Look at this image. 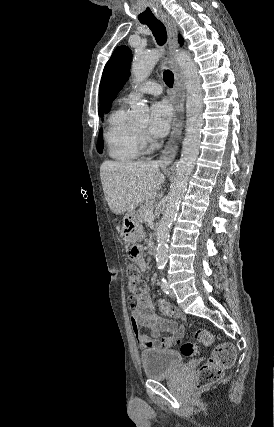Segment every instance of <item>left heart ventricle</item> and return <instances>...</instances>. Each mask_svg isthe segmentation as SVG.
<instances>
[{"instance_id":"b2bd125f","label":"left heart ventricle","mask_w":274,"mask_h":427,"mask_svg":"<svg viewBox=\"0 0 274 427\" xmlns=\"http://www.w3.org/2000/svg\"><path fill=\"white\" fill-rule=\"evenodd\" d=\"M141 130L147 133L148 121L142 122L137 125Z\"/></svg>"}]
</instances>
